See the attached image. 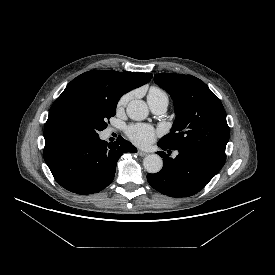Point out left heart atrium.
<instances>
[{
    "label": "left heart atrium",
    "mask_w": 275,
    "mask_h": 275,
    "mask_svg": "<svg viewBox=\"0 0 275 275\" xmlns=\"http://www.w3.org/2000/svg\"><path fill=\"white\" fill-rule=\"evenodd\" d=\"M158 134V131L147 124L131 125L127 129V135L130 140L138 146H147L152 143Z\"/></svg>",
    "instance_id": "obj_1"
}]
</instances>
